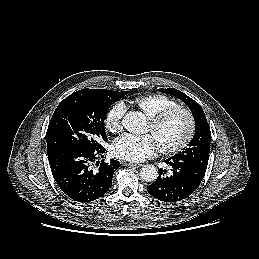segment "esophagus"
Returning <instances> with one entry per match:
<instances>
[{
    "label": "esophagus",
    "mask_w": 259,
    "mask_h": 259,
    "mask_svg": "<svg viewBox=\"0 0 259 259\" xmlns=\"http://www.w3.org/2000/svg\"><path fill=\"white\" fill-rule=\"evenodd\" d=\"M123 164L125 166H130V167H134V168H140L142 166V164L129 163V162H123Z\"/></svg>",
    "instance_id": "obj_1"
}]
</instances>
